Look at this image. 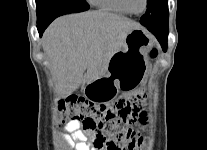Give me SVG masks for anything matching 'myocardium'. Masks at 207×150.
Segmentation results:
<instances>
[{"instance_id":"1","label":"myocardium","mask_w":207,"mask_h":150,"mask_svg":"<svg viewBox=\"0 0 207 150\" xmlns=\"http://www.w3.org/2000/svg\"><path fill=\"white\" fill-rule=\"evenodd\" d=\"M125 7L127 8V10L131 13V14H135V15H140V14H143L147 11V8H148V0H144V8L142 11L140 12H136L134 11L132 8H131V5H130V0H122Z\"/></svg>"}]
</instances>
